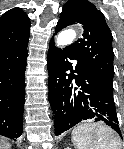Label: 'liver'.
Masks as SVG:
<instances>
[{
  "label": "liver",
  "instance_id": "6515ba94",
  "mask_svg": "<svg viewBox=\"0 0 124 149\" xmlns=\"http://www.w3.org/2000/svg\"><path fill=\"white\" fill-rule=\"evenodd\" d=\"M0 149H10V143L3 137H0Z\"/></svg>",
  "mask_w": 124,
  "mask_h": 149
}]
</instances>
